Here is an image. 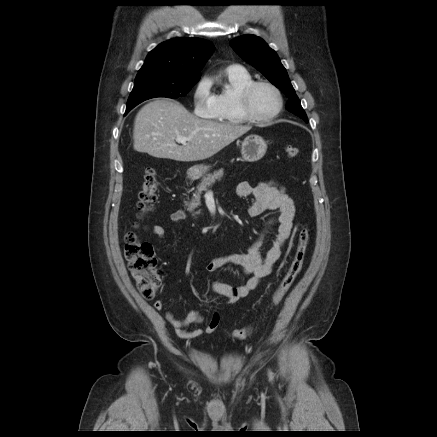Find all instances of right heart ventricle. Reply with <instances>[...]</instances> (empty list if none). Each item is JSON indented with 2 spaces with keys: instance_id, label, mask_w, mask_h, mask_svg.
<instances>
[{
  "instance_id": "1",
  "label": "right heart ventricle",
  "mask_w": 437,
  "mask_h": 437,
  "mask_svg": "<svg viewBox=\"0 0 437 437\" xmlns=\"http://www.w3.org/2000/svg\"><path fill=\"white\" fill-rule=\"evenodd\" d=\"M226 86L216 95L214 119L228 124H243L248 120L241 112L239 96L241 91L253 81L250 73L242 67H229L223 74Z\"/></svg>"
}]
</instances>
